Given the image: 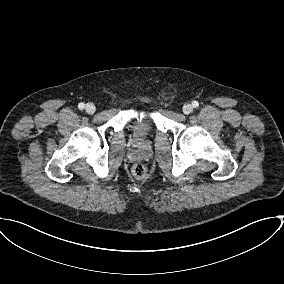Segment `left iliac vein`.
I'll return each mask as SVG.
<instances>
[{
    "label": "left iliac vein",
    "instance_id": "1",
    "mask_svg": "<svg viewBox=\"0 0 284 284\" xmlns=\"http://www.w3.org/2000/svg\"><path fill=\"white\" fill-rule=\"evenodd\" d=\"M193 111V106L189 103H186L184 106H183V112L185 114H190L191 112Z\"/></svg>",
    "mask_w": 284,
    "mask_h": 284
}]
</instances>
